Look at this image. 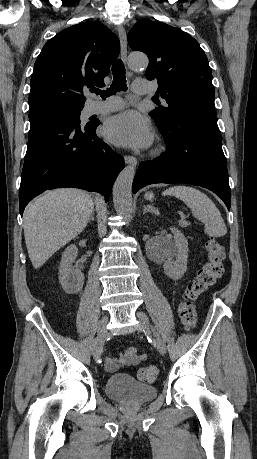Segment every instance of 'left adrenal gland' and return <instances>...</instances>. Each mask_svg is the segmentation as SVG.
<instances>
[{
    "instance_id": "1",
    "label": "left adrenal gland",
    "mask_w": 257,
    "mask_h": 459,
    "mask_svg": "<svg viewBox=\"0 0 257 459\" xmlns=\"http://www.w3.org/2000/svg\"><path fill=\"white\" fill-rule=\"evenodd\" d=\"M147 212H150L152 214H159L158 209H156L155 207L149 206V205H145L144 206V210H143V214H145Z\"/></svg>"
}]
</instances>
